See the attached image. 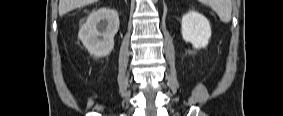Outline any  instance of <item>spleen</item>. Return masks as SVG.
I'll return each instance as SVG.
<instances>
[{
	"instance_id": "spleen-1",
	"label": "spleen",
	"mask_w": 283,
	"mask_h": 116,
	"mask_svg": "<svg viewBox=\"0 0 283 116\" xmlns=\"http://www.w3.org/2000/svg\"><path fill=\"white\" fill-rule=\"evenodd\" d=\"M204 4L219 16L223 23H229L232 17V3L230 0H204Z\"/></svg>"
}]
</instances>
